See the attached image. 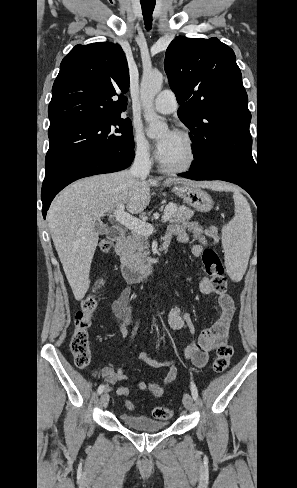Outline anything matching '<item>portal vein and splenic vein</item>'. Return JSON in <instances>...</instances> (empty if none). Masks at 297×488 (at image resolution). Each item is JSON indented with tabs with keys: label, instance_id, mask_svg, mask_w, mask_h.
<instances>
[{
	"label": "portal vein and splenic vein",
	"instance_id": "portal-vein-and-splenic-vein-1",
	"mask_svg": "<svg viewBox=\"0 0 297 488\" xmlns=\"http://www.w3.org/2000/svg\"><path fill=\"white\" fill-rule=\"evenodd\" d=\"M174 205H167L164 210V215L162 217L163 222H168L170 219V213L174 211ZM113 216L116 220L122 224L123 226L127 227L128 229L132 230L133 232H137L139 234H143L149 236L153 233L154 227L152 224L147 222L141 221L134 216L127 214L125 212V206L120 205L113 211Z\"/></svg>",
	"mask_w": 297,
	"mask_h": 488
}]
</instances>
